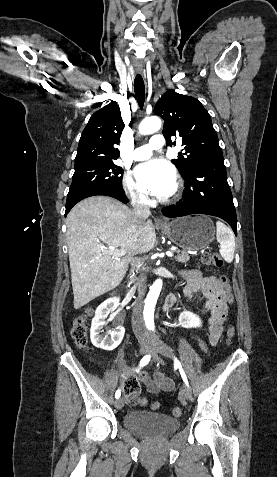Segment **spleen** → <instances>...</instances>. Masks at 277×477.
Listing matches in <instances>:
<instances>
[{"label":"spleen","mask_w":277,"mask_h":477,"mask_svg":"<svg viewBox=\"0 0 277 477\" xmlns=\"http://www.w3.org/2000/svg\"><path fill=\"white\" fill-rule=\"evenodd\" d=\"M216 238L220 243L219 252L221 256L226 262L231 263L235 251V239L232 230L224 223L218 221L216 222Z\"/></svg>","instance_id":"1"}]
</instances>
